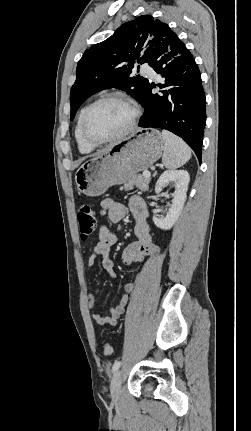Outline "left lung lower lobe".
<instances>
[{
  "label": "left lung lower lobe",
  "mask_w": 251,
  "mask_h": 431,
  "mask_svg": "<svg viewBox=\"0 0 251 431\" xmlns=\"http://www.w3.org/2000/svg\"><path fill=\"white\" fill-rule=\"evenodd\" d=\"M149 65L163 78L157 84L159 94H152L149 84L142 100L144 115L139 126L162 128L180 136L201 162L206 124V98L197 64L175 33L155 50Z\"/></svg>",
  "instance_id": "obj_1"
}]
</instances>
